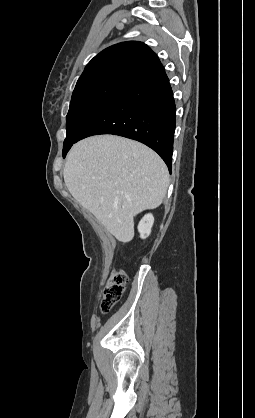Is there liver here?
I'll use <instances>...</instances> for the list:
<instances>
[{"label": "liver", "instance_id": "1", "mask_svg": "<svg viewBox=\"0 0 255 418\" xmlns=\"http://www.w3.org/2000/svg\"><path fill=\"white\" fill-rule=\"evenodd\" d=\"M63 174L75 200L123 243L134 237V216L158 207L169 185L168 169L154 151L114 135L76 143Z\"/></svg>", "mask_w": 255, "mask_h": 418}]
</instances>
